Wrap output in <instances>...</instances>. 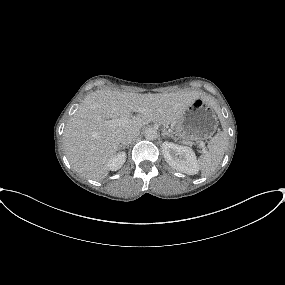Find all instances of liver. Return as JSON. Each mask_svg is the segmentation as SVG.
<instances>
[{
	"label": "liver",
	"instance_id": "liver-1",
	"mask_svg": "<svg viewBox=\"0 0 285 285\" xmlns=\"http://www.w3.org/2000/svg\"><path fill=\"white\" fill-rule=\"evenodd\" d=\"M206 96L197 91L139 94L117 90H98L86 96L67 122L63 132L65 154L80 175L102 180L108 175V163L119 150V136L157 122L175 123L195 100ZM143 111V112H141ZM132 112L140 115L131 117ZM125 117L127 122L114 125L109 121Z\"/></svg>",
	"mask_w": 285,
	"mask_h": 285
}]
</instances>
